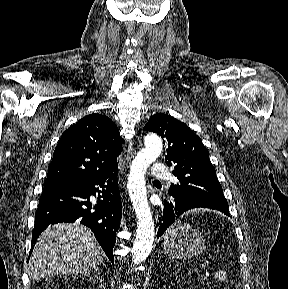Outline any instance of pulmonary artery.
I'll return each instance as SVG.
<instances>
[{"mask_svg": "<svg viewBox=\"0 0 288 289\" xmlns=\"http://www.w3.org/2000/svg\"><path fill=\"white\" fill-rule=\"evenodd\" d=\"M152 173L155 177L159 179H173L176 181L175 178L171 176L169 169L161 162H157L152 167Z\"/></svg>", "mask_w": 288, "mask_h": 289, "instance_id": "1", "label": "pulmonary artery"}]
</instances>
